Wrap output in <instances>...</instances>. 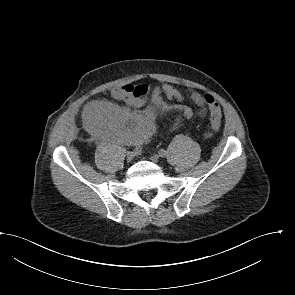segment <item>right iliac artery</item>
I'll return each instance as SVG.
<instances>
[{"label": "right iliac artery", "mask_w": 295, "mask_h": 295, "mask_svg": "<svg viewBox=\"0 0 295 295\" xmlns=\"http://www.w3.org/2000/svg\"><path fill=\"white\" fill-rule=\"evenodd\" d=\"M135 152L136 153H141L142 152V146L141 145H136L135 146Z\"/></svg>", "instance_id": "right-iliac-artery-1"}]
</instances>
